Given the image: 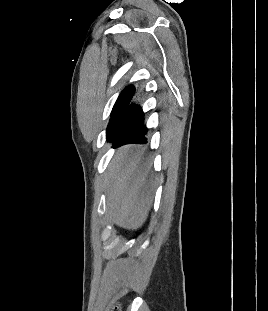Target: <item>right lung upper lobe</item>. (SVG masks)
Returning a JSON list of instances; mask_svg holds the SVG:
<instances>
[{
    "label": "right lung upper lobe",
    "instance_id": "right-lung-upper-lobe-1",
    "mask_svg": "<svg viewBox=\"0 0 268 311\" xmlns=\"http://www.w3.org/2000/svg\"><path fill=\"white\" fill-rule=\"evenodd\" d=\"M127 88H134L132 85L128 86Z\"/></svg>",
    "mask_w": 268,
    "mask_h": 311
}]
</instances>
